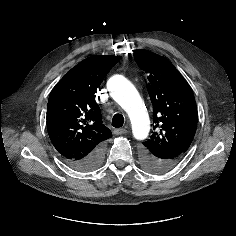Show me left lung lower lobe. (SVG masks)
Wrapping results in <instances>:
<instances>
[{
  "label": "left lung lower lobe",
  "mask_w": 236,
  "mask_h": 236,
  "mask_svg": "<svg viewBox=\"0 0 236 236\" xmlns=\"http://www.w3.org/2000/svg\"><path fill=\"white\" fill-rule=\"evenodd\" d=\"M181 157L182 155L179 154L178 152H173L170 153L169 155L164 156L158 165V171L154 173H162L171 169L179 162Z\"/></svg>",
  "instance_id": "left-lung-lower-lobe-1"
}]
</instances>
